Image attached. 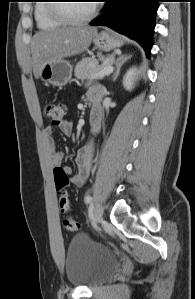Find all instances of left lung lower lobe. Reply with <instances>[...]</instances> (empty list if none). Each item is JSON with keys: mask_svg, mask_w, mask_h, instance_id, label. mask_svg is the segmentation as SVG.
Wrapping results in <instances>:
<instances>
[{"mask_svg": "<svg viewBox=\"0 0 195 299\" xmlns=\"http://www.w3.org/2000/svg\"><path fill=\"white\" fill-rule=\"evenodd\" d=\"M103 13L91 26H107L136 40L150 52L160 0H106Z\"/></svg>", "mask_w": 195, "mask_h": 299, "instance_id": "1", "label": "left lung lower lobe"}]
</instances>
